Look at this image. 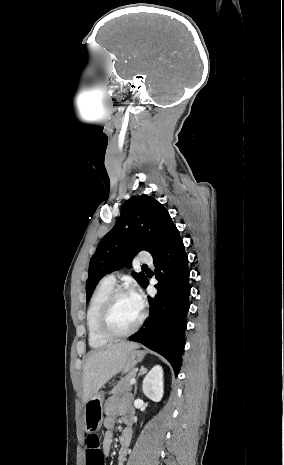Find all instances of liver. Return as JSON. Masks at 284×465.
<instances>
[{"label": "liver", "mask_w": 284, "mask_h": 465, "mask_svg": "<svg viewBox=\"0 0 284 465\" xmlns=\"http://www.w3.org/2000/svg\"><path fill=\"white\" fill-rule=\"evenodd\" d=\"M137 343H118L105 351H92L83 367V403H87L114 375L120 373Z\"/></svg>", "instance_id": "liver-1"}]
</instances>
